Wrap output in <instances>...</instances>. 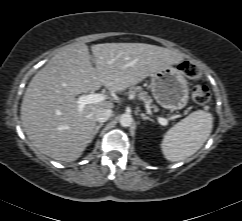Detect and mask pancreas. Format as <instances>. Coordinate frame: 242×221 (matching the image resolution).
I'll list each match as a JSON object with an SVG mask.
<instances>
[{"label": "pancreas", "mask_w": 242, "mask_h": 221, "mask_svg": "<svg viewBox=\"0 0 242 221\" xmlns=\"http://www.w3.org/2000/svg\"><path fill=\"white\" fill-rule=\"evenodd\" d=\"M128 94L133 95V96H138L139 99L144 101L147 105L152 104V100H151L150 96L147 94L146 91H143L142 88L139 86L131 87Z\"/></svg>", "instance_id": "1"}]
</instances>
